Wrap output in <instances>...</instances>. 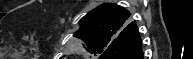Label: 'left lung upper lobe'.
I'll use <instances>...</instances> for the list:
<instances>
[{"mask_svg": "<svg viewBox=\"0 0 193 59\" xmlns=\"http://www.w3.org/2000/svg\"><path fill=\"white\" fill-rule=\"evenodd\" d=\"M130 13L115 4H103L80 20V29L74 36L84 42L91 54H103L113 46L129 25Z\"/></svg>", "mask_w": 193, "mask_h": 59, "instance_id": "left-lung-upper-lobe-1", "label": "left lung upper lobe"}]
</instances>
